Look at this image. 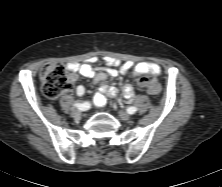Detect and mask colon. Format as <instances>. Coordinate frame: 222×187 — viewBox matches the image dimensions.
Returning a JSON list of instances; mask_svg holds the SVG:
<instances>
[{
	"label": "colon",
	"instance_id": "colon-1",
	"mask_svg": "<svg viewBox=\"0 0 222 187\" xmlns=\"http://www.w3.org/2000/svg\"><path fill=\"white\" fill-rule=\"evenodd\" d=\"M72 76L73 73L68 72L60 63L47 64L41 71V82L45 96L55 99L71 90ZM138 84L141 89L151 94H156L159 91V85L151 76L139 77Z\"/></svg>",
	"mask_w": 222,
	"mask_h": 187
}]
</instances>
